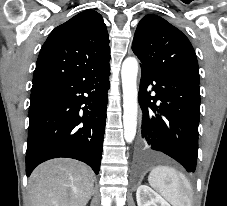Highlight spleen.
<instances>
[{"instance_id":"spleen-1","label":"spleen","mask_w":227,"mask_h":206,"mask_svg":"<svg viewBox=\"0 0 227 206\" xmlns=\"http://www.w3.org/2000/svg\"><path fill=\"white\" fill-rule=\"evenodd\" d=\"M148 181L172 206H191V185L175 169L166 166L155 167L151 170Z\"/></svg>"}]
</instances>
